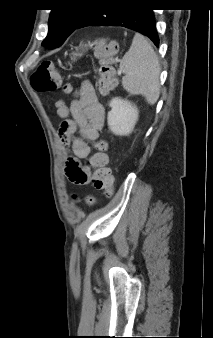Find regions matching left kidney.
Masks as SVG:
<instances>
[{"label": "left kidney", "instance_id": "left-kidney-1", "mask_svg": "<svg viewBox=\"0 0 213 338\" xmlns=\"http://www.w3.org/2000/svg\"><path fill=\"white\" fill-rule=\"evenodd\" d=\"M108 112L109 129L116 135H128L132 132L137 120L138 109L131 102L115 97L110 102Z\"/></svg>", "mask_w": 213, "mask_h": 338}]
</instances>
